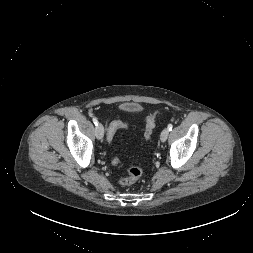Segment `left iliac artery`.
<instances>
[{
    "instance_id": "left-iliac-artery-1",
    "label": "left iliac artery",
    "mask_w": 253,
    "mask_h": 253,
    "mask_svg": "<svg viewBox=\"0 0 253 253\" xmlns=\"http://www.w3.org/2000/svg\"><path fill=\"white\" fill-rule=\"evenodd\" d=\"M172 128H173V125H172V124H169V125H168V130L171 131Z\"/></svg>"
}]
</instances>
